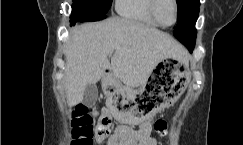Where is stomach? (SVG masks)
<instances>
[{"mask_svg": "<svg viewBox=\"0 0 243 145\" xmlns=\"http://www.w3.org/2000/svg\"><path fill=\"white\" fill-rule=\"evenodd\" d=\"M139 92H128L115 81L105 78L103 90L108 95L112 116L122 123L137 124L156 116L174 103L190 80L188 63L175 58L163 59L153 69Z\"/></svg>", "mask_w": 243, "mask_h": 145, "instance_id": "stomach-1", "label": "stomach"}]
</instances>
